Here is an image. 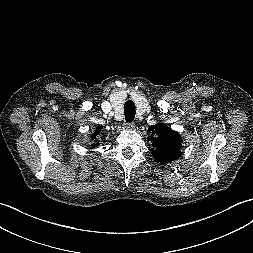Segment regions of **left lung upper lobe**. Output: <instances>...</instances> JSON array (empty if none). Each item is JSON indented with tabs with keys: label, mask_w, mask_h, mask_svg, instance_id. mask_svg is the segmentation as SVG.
Here are the masks:
<instances>
[{
	"label": "left lung upper lobe",
	"mask_w": 253,
	"mask_h": 253,
	"mask_svg": "<svg viewBox=\"0 0 253 253\" xmlns=\"http://www.w3.org/2000/svg\"><path fill=\"white\" fill-rule=\"evenodd\" d=\"M151 135L148 140L152 143V155L160 164H167L178 159L181 152L182 137L180 134L163 123L150 126Z\"/></svg>",
	"instance_id": "1"
}]
</instances>
